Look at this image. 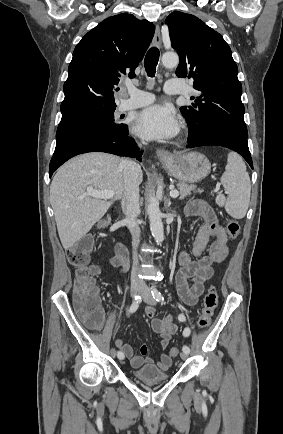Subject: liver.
I'll return each mask as SVG.
<instances>
[{
  "instance_id": "liver-1",
  "label": "liver",
  "mask_w": 283,
  "mask_h": 434,
  "mask_svg": "<svg viewBox=\"0 0 283 434\" xmlns=\"http://www.w3.org/2000/svg\"><path fill=\"white\" fill-rule=\"evenodd\" d=\"M123 159L107 153L92 152L72 158L61 166L50 186L58 234L64 249L84 237L124 192ZM143 180L142 170L138 183ZM114 193L110 201L87 195L88 190Z\"/></svg>"
}]
</instances>
